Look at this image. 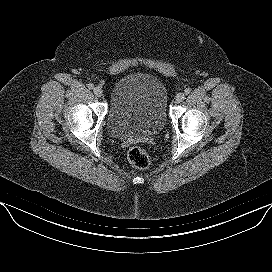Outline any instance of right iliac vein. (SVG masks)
<instances>
[{
    "label": "right iliac vein",
    "instance_id": "obj_1",
    "mask_svg": "<svg viewBox=\"0 0 272 272\" xmlns=\"http://www.w3.org/2000/svg\"><path fill=\"white\" fill-rule=\"evenodd\" d=\"M93 92L97 97H101L103 94V90L100 87H95L93 89Z\"/></svg>",
    "mask_w": 272,
    "mask_h": 272
}]
</instances>
